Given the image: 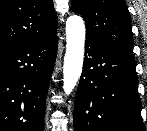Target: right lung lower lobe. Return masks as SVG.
Returning <instances> with one entry per match:
<instances>
[{"label": "right lung lower lobe", "mask_w": 147, "mask_h": 131, "mask_svg": "<svg viewBox=\"0 0 147 131\" xmlns=\"http://www.w3.org/2000/svg\"><path fill=\"white\" fill-rule=\"evenodd\" d=\"M56 52L55 32L0 55V131H44Z\"/></svg>", "instance_id": "obj_1"}]
</instances>
